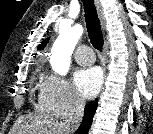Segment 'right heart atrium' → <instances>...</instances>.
<instances>
[{
	"mask_svg": "<svg viewBox=\"0 0 153 134\" xmlns=\"http://www.w3.org/2000/svg\"><path fill=\"white\" fill-rule=\"evenodd\" d=\"M39 107L58 118H65L81 111L84 102L71 84L63 77L48 73L42 79Z\"/></svg>",
	"mask_w": 153,
	"mask_h": 134,
	"instance_id": "1",
	"label": "right heart atrium"
}]
</instances>
